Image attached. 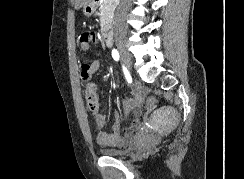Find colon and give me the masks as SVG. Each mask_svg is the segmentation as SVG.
Segmentation results:
<instances>
[{
  "instance_id": "5ec220e1",
  "label": "colon",
  "mask_w": 244,
  "mask_h": 179,
  "mask_svg": "<svg viewBox=\"0 0 244 179\" xmlns=\"http://www.w3.org/2000/svg\"><path fill=\"white\" fill-rule=\"evenodd\" d=\"M84 98L91 110H95L97 108L98 88L94 82L88 83L84 87ZM146 101L148 102V107H151L152 104H156L157 96H146ZM142 115L146 116L147 112L143 111Z\"/></svg>"
}]
</instances>
